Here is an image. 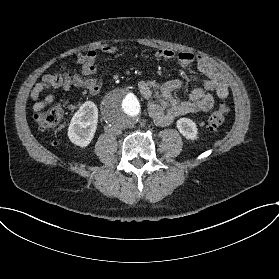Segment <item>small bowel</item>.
Returning <instances> with one entry per match:
<instances>
[{"label": "small bowel", "mask_w": 279, "mask_h": 279, "mask_svg": "<svg viewBox=\"0 0 279 279\" xmlns=\"http://www.w3.org/2000/svg\"><path fill=\"white\" fill-rule=\"evenodd\" d=\"M103 53H113L115 47L110 44L103 45ZM158 60L176 59L182 67L195 64L204 76L202 86L193 88L187 100H180L175 92L182 88L179 79L159 82L155 79H144L138 83V90L146 100V109L150 118L160 126L171 124L175 119L188 113L207 112L214 103V97L224 99L229 94L228 82L216 68L204 57L191 52H175L170 48H160L155 54ZM98 52L90 49L77 56V63L81 66V74L64 77L60 74L49 73L42 77L31 91L33 110L42 111L54 100L52 93L42 97V93L52 88H61L66 92L82 89L91 95L100 90L101 79L97 77L96 62Z\"/></svg>", "instance_id": "c3829d8e"}]
</instances>
